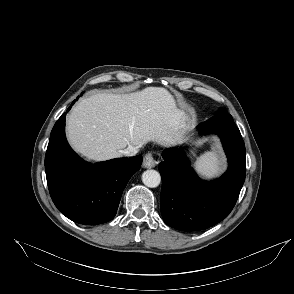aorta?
<instances>
[{
	"label": "aorta",
	"mask_w": 294,
	"mask_h": 294,
	"mask_svg": "<svg viewBox=\"0 0 294 294\" xmlns=\"http://www.w3.org/2000/svg\"><path fill=\"white\" fill-rule=\"evenodd\" d=\"M142 182L150 188L157 187L161 182V176L156 170H146L142 174Z\"/></svg>",
	"instance_id": "obj_1"
}]
</instances>
